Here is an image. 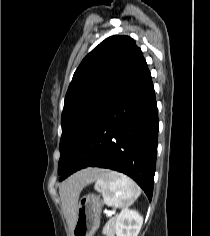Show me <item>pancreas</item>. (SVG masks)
<instances>
[{"label":"pancreas","mask_w":210,"mask_h":236,"mask_svg":"<svg viewBox=\"0 0 210 236\" xmlns=\"http://www.w3.org/2000/svg\"><path fill=\"white\" fill-rule=\"evenodd\" d=\"M114 221H116V217H112L108 223L105 225V227L103 228V232L107 235V236H111V229L113 228V223Z\"/></svg>","instance_id":"1"}]
</instances>
